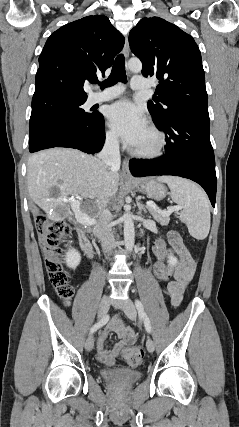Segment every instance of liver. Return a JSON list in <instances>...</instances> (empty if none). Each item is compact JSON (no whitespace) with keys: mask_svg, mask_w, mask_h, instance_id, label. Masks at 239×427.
<instances>
[{"mask_svg":"<svg viewBox=\"0 0 239 427\" xmlns=\"http://www.w3.org/2000/svg\"><path fill=\"white\" fill-rule=\"evenodd\" d=\"M29 196L52 221H62L73 213L68 196H80L94 201L89 213L100 218L110 199L117 193L119 174L96 156L67 148H51L29 157L27 164ZM58 193L51 192L52 187ZM75 215H86L80 203H72Z\"/></svg>","mask_w":239,"mask_h":427,"instance_id":"liver-1","label":"liver"}]
</instances>
